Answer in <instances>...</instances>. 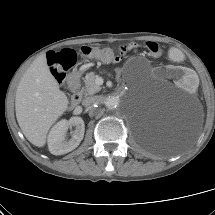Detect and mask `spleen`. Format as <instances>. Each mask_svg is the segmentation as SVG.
<instances>
[{"label": "spleen", "mask_w": 215, "mask_h": 215, "mask_svg": "<svg viewBox=\"0 0 215 215\" xmlns=\"http://www.w3.org/2000/svg\"><path fill=\"white\" fill-rule=\"evenodd\" d=\"M170 58L175 61L182 60L184 58V51L182 49H172L170 51Z\"/></svg>", "instance_id": "spleen-1"}]
</instances>
